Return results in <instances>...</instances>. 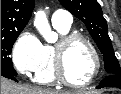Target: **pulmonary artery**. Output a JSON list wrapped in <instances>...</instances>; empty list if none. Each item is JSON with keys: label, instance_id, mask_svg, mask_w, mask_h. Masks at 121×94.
Listing matches in <instances>:
<instances>
[{"label": "pulmonary artery", "instance_id": "e3ab8cb5", "mask_svg": "<svg viewBox=\"0 0 121 94\" xmlns=\"http://www.w3.org/2000/svg\"><path fill=\"white\" fill-rule=\"evenodd\" d=\"M72 23L71 14L66 10H56L52 15V24L70 27Z\"/></svg>", "mask_w": 121, "mask_h": 94}]
</instances>
